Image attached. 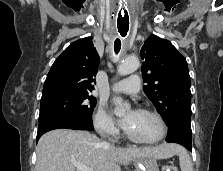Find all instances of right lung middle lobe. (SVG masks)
Segmentation results:
<instances>
[{
  "label": "right lung middle lobe",
  "instance_id": "1",
  "mask_svg": "<svg viewBox=\"0 0 223 171\" xmlns=\"http://www.w3.org/2000/svg\"><path fill=\"white\" fill-rule=\"evenodd\" d=\"M96 99L88 92H66L41 98L39 121L48 117L70 114L92 122Z\"/></svg>",
  "mask_w": 223,
  "mask_h": 171
}]
</instances>
